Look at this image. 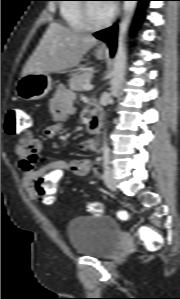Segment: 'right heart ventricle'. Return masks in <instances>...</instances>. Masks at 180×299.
Listing matches in <instances>:
<instances>
[{
  "label": "right heart ventricle",
  "instance_id": "e07e8e85",
  "mask_svg": "<svg viewBox=\"0 0 180 299\" xmlns=\"http://www.w3.org/2000/svg\"><path fill=\"white\" fill-rule=\"evenodd\" d=\"M60 7L61 15L65 23L71 28L85 30L86 26L82 17V4L75 3L80 0H64Z\"/></svg>",
  "mask_w": 180,
  "mask_h": 299
}]
</instances>
